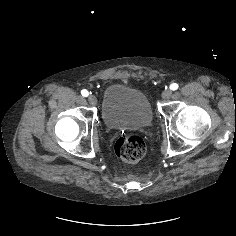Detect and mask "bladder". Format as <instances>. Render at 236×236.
I'll return each instance as SVG.
<instances>
[{"label":"bladder","instance_id":"bladder-1","mask_svg":"<svg viewBox=\"0 0 236 236\" xmlns=\"http://www.w3.org/2000/svg\"><path fill=\"white\" fill-rule=\"evenodd\" d=\"M101 113L110 129L142 128L153 119V109L148 96L139 89L111 84L102 95Z\"/></svg>","mask_w":236,"mask_h":236}]
</instances>
